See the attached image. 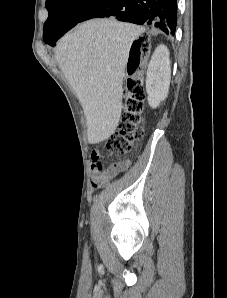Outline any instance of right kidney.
I'll return each instance as SVG.
<instances>
[{
	"label": "right kidney",
	"instance_id": "ca27d5eb",
	"mask_svg": "<svg viewBox=\"0 0 227 298\" xmlns=\"http://www.w3.org/2000/svg\"><path fill=\"white\" fill-rule=\"evenodd\" d=\"M171 78L169 50L159 45L149 62L146 76V91L150 107L156 108L168 95Z\"/></svg>",
	"mask_w": 227,
	"mask_h": 298
}]
</instances>
